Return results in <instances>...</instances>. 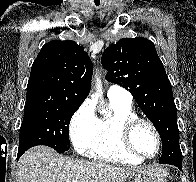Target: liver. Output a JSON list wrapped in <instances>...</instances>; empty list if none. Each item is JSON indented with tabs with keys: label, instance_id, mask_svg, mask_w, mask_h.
<instances>
[{
	"label": "liver",
	"instance_id": "1",
	"mask_svg": "<svg viewBox=\"0 0 196 182\" xmlns=\"http://www.w3.org/2000/svg\"><path fill=\"white\" fill-rule=\"evenodd\" d=\"M137 167L114 166L63 157L47 146L26 151L18 164V182H125L140 171Z\"/></svg>",
	"mask_w": 196,
	"mask_h": 182
}]
</instances>
